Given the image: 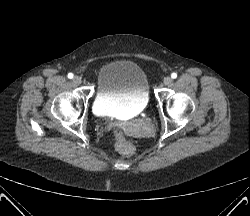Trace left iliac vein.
I'll return each mask as SVG.
<instances>
[{
	"mask_svg": "<svg viewBox=\"0 0 250 216\" xmlns=\"http://www.w3.org/2000/svg\"><path fill=\"white\" fill-rule=\"evenodd\" d=\"M172 78L171 77H165L164 80H163V83L166 85V86H169L171 83H172Z\"/></svg>",
	"mask_w": 250,
	"mask_h": 216,
	"instance_id": "1",
	"label": "left iliac vein"
}]
</instances>
